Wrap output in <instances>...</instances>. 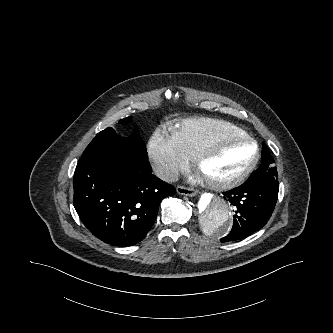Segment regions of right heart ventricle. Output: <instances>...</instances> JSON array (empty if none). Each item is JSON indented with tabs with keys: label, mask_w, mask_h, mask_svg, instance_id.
<instances>
[{
	"label": "right heart ventricle",
	"mask_w": 333,
	"mask_h": 333,
	"mask_svg": "<svg viewBox=\"0 0 333 333\" xmlns=\"http://www.w3.org/2000/svg\"><path fill=\"white\" fill-rule=\"evenodd\" d=\"M229 133L248 135L243 129L232 123L208 117L186 119L171 129V136L190 160L208 141Z\"/></svg>",
	"instance_id": "e07e8e85"
}]
</instances>
